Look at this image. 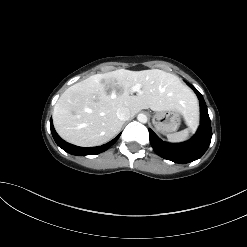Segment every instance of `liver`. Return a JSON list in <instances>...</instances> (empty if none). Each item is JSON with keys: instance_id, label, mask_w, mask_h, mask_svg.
Masks as SVG:
<instances>
[{"instance_id": "6515ba94", "label": "liver", "mask_w": 247, "mask_h": 247, "mask_svg": "<svg viewBox=\"0 0 247 247\" xmlns=\"http://www.w3.org/2000/svg\"><path fill=\"white\" fill-rule=\"evenodd\" d=\"M141 84L136 95L131 87ZM127 107L131 115L142 109L176 110L185 120L198 117L192 92L174 74L159 69H118L95 74L70 86L53 111L57 133L65 141L82 147L99 146L114 138L122 128L116 112Z\"/></svg>"}]
</instances>
